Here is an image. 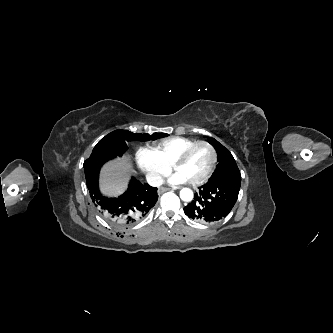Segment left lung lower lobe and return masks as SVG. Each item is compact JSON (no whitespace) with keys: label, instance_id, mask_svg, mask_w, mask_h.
I'll list each match as a JSON object with an SVG mask.
<instances>
[{"label":"left lung lower lobe","instance_id":"obj_1","mask_svg":"<svg viewBox=\"0 0 333 333\" xmlns=\"http://www.w3.org/2000/svg\"><path fill=\"white\" fill-rule=\"evenodd\" d=\"M240 185L239 169L211 177L206 184L199 187L194 200L184 207L185 214L203 223H214L225 218L237 201Z\"/></svg>","mask_w":333,"mask_h":333}]
</instances>
